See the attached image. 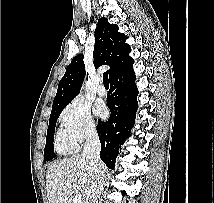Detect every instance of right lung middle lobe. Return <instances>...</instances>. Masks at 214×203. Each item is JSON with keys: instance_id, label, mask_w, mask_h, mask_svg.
I'll use <instances>...</instances> for the list:
<instances>
[{"instance_id": "obj_1", "label": "right lung middle lobe", "mask_w": 214, "mask_h": 203, "mask_svg": "<svg viewBox=\"0 0 214 203\" xmlns=\"http://www.w3.org/2000/svg\"><path fill=\"white\" fill-rule=\"evenodd\" d=\"M63 109L50 115L49 126H48L47 137H46V145H45V150H44V160L45 161H49V160L53 159L55 156L54 147H53L54 131H55L57 119Z\"/></svg>"}]
</instances>
